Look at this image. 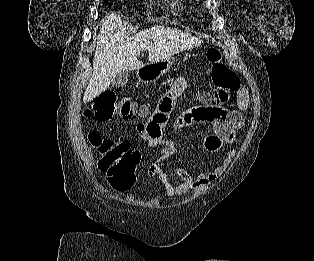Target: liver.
Masks as SVG:
<instances>
[{
    "instance_id": "liver-1",
    "label": "liver",
    "mask_w": 314,
    "mask_h": 261,
    "mask_svg": "<svg viewBox=\"0 0 314 261\" xmlns=\"http://www.w3.org/2000/svg\"><path fill=\"white\" fill-rule=\"evenodd\" d=\"M201 43L200 39L186 32L165 26H154L129 36L120 15L109 13L97 37L93 74L83 102L87 103L104 92L120 71L141 68L143 63L138 56L142 50L148 51L150 62H157Z\"/></svg>"
}]
</instances>
